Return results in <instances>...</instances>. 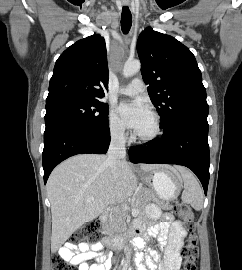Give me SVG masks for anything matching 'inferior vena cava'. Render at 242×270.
<instances>
[{
    "label": "inferior vena cava",
    "mask_w": 242,
    "mask_h": 270,
    "mask_svg": "<svg viewBox=\"0 0 242 270\" xmlns=\"http://www.w3.org/2000/svg\"><path fill=\"white\" fill-rule=\"evenodd\" d=\"M124 130H119L112 134L111 143L108 150V156L105 164L111 169L113 177L119 174V167L126 156ZM116 212L113 213L114 218Z\"/></svg>",
    "instance_id": "1"
}]
</instances>
